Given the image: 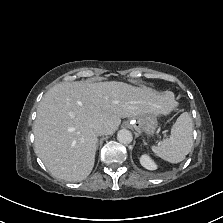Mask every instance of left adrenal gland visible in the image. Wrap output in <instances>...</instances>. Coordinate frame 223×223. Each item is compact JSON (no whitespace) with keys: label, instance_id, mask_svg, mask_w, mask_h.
Here are the masks:
<instances>
[{"label":"left adrenal gland","instance_id":"obj_1","mask_svg":"<svg viewBox=\"0 0 223 223\" xmlns=\"http://www.w3.org/2000/svg\"><path fill=\"white\" fill-rule=\"evenodd\" d=\"M143 142H144V145H146V142L143 140Z\"/></svg>","mask_w":223,"mask_h":223}]
</instances>
